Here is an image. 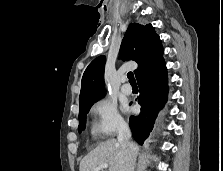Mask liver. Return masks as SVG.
I'll list each match as a JSON object with an SVG mask.
<instances>
[{"instance_id":"liver-1","label":"liver","mask_w":223,"mask_h":171,"mask_svg":"<svg viewBox=\"0 0 223 171\" xmlns=\"http://www.w3.org/2000/svg\"><path fill=\"white\" fill-rule=\"evenodd\" d=\"M136 147V153L138 146ZM124 149L116 139L101 142L93 151L80 162L79 171H94L101 164H108V171H124Z\"/></svg>"}]
</instances>
